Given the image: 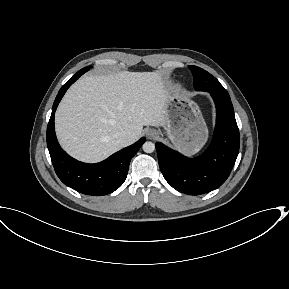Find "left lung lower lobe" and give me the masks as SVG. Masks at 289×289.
<instances>
[{
	"mask_svg": "<svg viewBox=\"0 0 289 289\" xmlns=\"http://www.w3.org/2000/svg\"><path fill=\"white\" fill-rule=\"evenodd\" d=\"M217 110L213 140L207 151L187 158L164 144L156 143L161 172L176 190L200 195L221 186L231 173L240 145L239 129L229 94L209 92Z\"/></svg>",
	"mask_w": 289,
	"mask_h": 289,
	"instance_id": "1",
	"label": "left lung lower lobe"
}]
</instances>
